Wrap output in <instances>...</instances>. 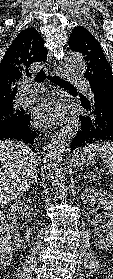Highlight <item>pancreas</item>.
Returning <instances> with one entry per match:
<instances>
[{
  "label": "pancreas",
  "instance_id": "1",
  "mask_svg": "<svg viewBox=\"0 0 113 279\" xmlns=\"http://www.w3.org/2000/svg\"><path fill=\"white\" fill-rule=\"evenodd\" d=\"M93 179H94V180H98V179H99V177H93Z\"/></svg>",
  "mask_w": 113,
  "mask_h": 279
}]
</instances>
